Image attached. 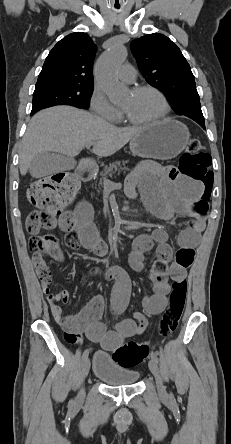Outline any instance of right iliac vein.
<instances>
[{
  "instance_id": "63e3f726",
  "label": "right iliac vein",
  "mask_w": 231,
  "mask_h": 444,
  "mask_svg": "<svg viewBox=\"0 0 231 444\" xmlns=\"http://www.w3.org/2000/svg\"><path fill=\"white\" fill-rule=\"evenodd\" d=\"M89 370H90V360H89V358L87 357V358L83 361V364H82V378H83V379H85V378L88 376V374H89ZM83 400H84V390L82 389V390L79 392V394H78L77 401H78L79 403H81V402H83Z\"/></svg>"
}]
</instances>
